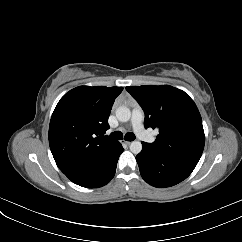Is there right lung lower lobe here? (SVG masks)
I'll return each mask as SVG.
<instances>
[{
  "instance_id": "98d812e1",
  "label": "right lung lower lobe",
  "mask_w": 242,
  "mask_h": 242,
  "mask_svg": "<svg viewBox=\"0 0 242 242\" xmlns=\"http://www.w3.org/2000/svg\"><path fill=\"white\" fill-rule=\"evenodd\" d=\"M119 142L95 153L80 167L66 176L75 184L86 188L106 185L115 175L117 161L123 152Z\"/></svg>"
}]
</instances>
